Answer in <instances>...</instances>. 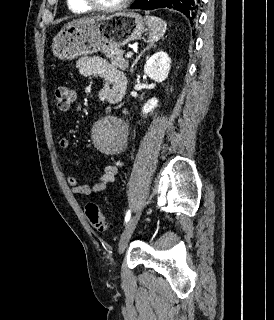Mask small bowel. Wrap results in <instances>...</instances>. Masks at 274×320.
<instances>
[{
    "mask_svg": "<svg viewBox=\"0 0 274 320\" xmlns=\"http://www.w3.org/2000/svg\"><path fill=\"white\" fill-rule=\"evenodd\" d=\"M77 68L83 76H99L104 80L102 93L106 96L109 104L119 102L125 95L127 81L122 72L107 63L102 58L96 56H83L77 61ZM69 140L61 138L59 140L60 148H67ZM122 166L119 161H113L105 165L98 176V180L93 185L81 184L79 180L66 175L65 180L71 187V193L82 196H89L93 193H100L106 190L107 186L115 180L118 169Z\"/></svg>",
    "mask_w": 274,
    "mask_h": 320,
    "instance_id": "small-bowel-1",
    "label": "small bowel"
}]
</instances>
